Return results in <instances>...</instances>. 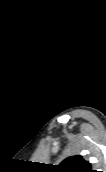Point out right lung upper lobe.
<instances>
[{
  "label": "right lung upper lobe",
  "mask_w": 106,
  "mask_h": 172,
  "mask_svg": "<svg viewBox=\"0 0 106 172\" xmlns=\"http://www.w3.org/2000/svg\"><path fill=\"white\" fill-rule=\"evenodd\" d=\"M54 172H95L91 170L89 162L85 161L82 156H71L56 165Z\"/></svg>",
  "instance_id": "cb5924a9"
}]
</instances>
